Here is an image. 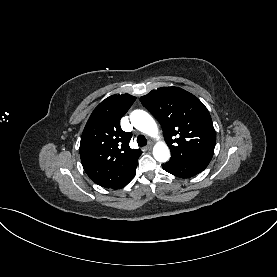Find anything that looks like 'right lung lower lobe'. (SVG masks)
I'll use <instances>...</instances> for the list:
<instances>
[{"instance_id": "obj_1", "label": "right lung lower lobe", "mask_w": 277, "mask_h": 277, "mask_svg": "<svg viewBox=\"0 0 277 277\" xmlns=\"http://www.w3.org/2000/svg\"><path fill=\"white\" fill-rule=\"evenodd\" d=\"M136 174V169L127 177L126 180H124L116 189H121L123 188L125 185H127L135 176Z\"/></svg>"}]
</instances>
